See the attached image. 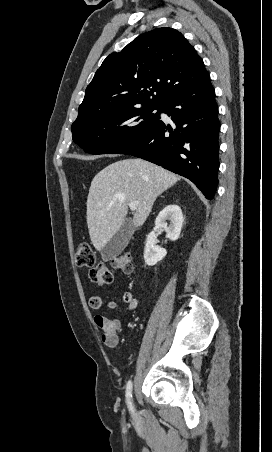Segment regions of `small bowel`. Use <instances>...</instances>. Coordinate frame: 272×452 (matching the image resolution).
I'll return each mask as SVG.
<instances>
[{"instance_id":"small-bowel-1","label":"small bowel","mask_w":272,"mask_h":452,"mask_svg":"<svg viewBox=\"0 0 272 452\" xmlns=\"http://www.w3.org/2000/svg\"><path fill=\"white\" fill-rule=\"evenodd\" d=\"M124 309L133 311L138 307V300L134 297L132 292L125 291L121 297ZM89 307L93 310H99L103 306V299L100 295H92L89 298ZM106 307L110 310H117L120 305L115 301H108ZM95 325L103 331L102 341L107 346L115 345L118 341V335L121 332V323L118 319L109 318L101 314H96L94 317Z\"/></svg>"}]
</instances>
